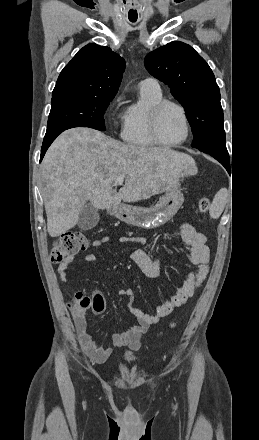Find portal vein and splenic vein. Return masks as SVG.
Instances as JSON below:
<instances>
[{"label": "portal vein and splenic vein", "instance_id": "18ae733b", "mask_svg": "<svg viewBox=\"0 0 259 440\" xmlns=\"http://www.w3.org/2000/svg\"><path fill=\"white\" fill-rule=\"evenodd\" d=\"M124 182V178L123 177H118L115 181V185H122Z\"/></svg>", "mask_w": 259, "mask_h": 440}]
</instances>
